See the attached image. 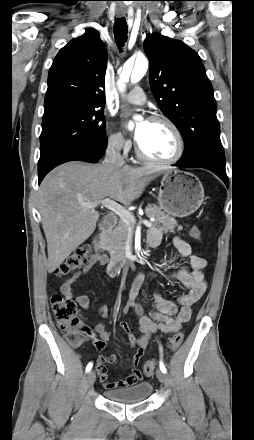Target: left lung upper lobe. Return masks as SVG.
<instances>
[{"instance_id":"5c2ea615","label":"left lung upper lobe","mask_w":254,"mask_h":440,"mask_svg":"<svg viewBox=\"0 0 254 440\" xmlns=\"http://www.w3.org/2000/svg\"><path fill=\"white\" fill-rule=\"evenodd\" d=\"M143 46L153 95L183 137L181 159L211 150L224 153L213 87L199 55L185 43L158 34L148 35Z\"/></svg>"}]
</instances>
